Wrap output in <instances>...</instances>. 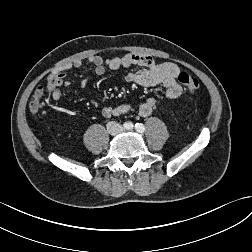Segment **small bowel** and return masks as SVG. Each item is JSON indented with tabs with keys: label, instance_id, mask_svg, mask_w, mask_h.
<instances>
[{
	"label": "small bowel",
	"instance_id": "1",
	"mask_svg": "<svg viewBox=\"0 0 252 252\" xmlns=\"http://www.w3.org/2000/svg\"><path fill=\"white\" fill-rule=\"evenodd\" d=\"M85 61L93 65L94 72L97 75L105 73L108 67L111 70L120 68L138 67L135 72H129L125 76V81L135 83L144 87H153L162 85L166 88V96L169 99H176L182 94V86L177 81L179 67L172 62L158 63L152 57L136 53H127L123 56L104 59L99 55H90ZM83 64L82 59H77L72 63L62 66L57 72L48 76L47 92L54 101H59L62 97L61 86L69 87L70 82L64 81V71L71 67H80ZM89 77L86 76L81 80L80 87L83 89L87 86ZM156 104L153 97H149L141 102L137 109L141 116L151 115ZM131 110V105L121 104L118 106H108L102 109V115L106 118L119 116Z\"/></svg>",
	"mask_w": 252,
	"mask_h": 252
}]
</instances>
